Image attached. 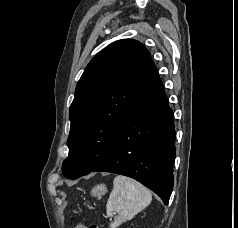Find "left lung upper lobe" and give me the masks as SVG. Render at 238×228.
Listing matches in <instances>:
<instances>
[{"mask_svg":"<svg viewBox=\"0 0 238 228\" xmlns=\"http://www.w3.org/2000/svg\"><path fill=\"white\" fill-rule=\"evenodd\" d=\"M154 67L149 51L132 39L110 44L89 62L69 109L64 176L89 172L110 156Z\"/></svg>","mask_w":238,"mask_h":228,"instance_id":"5c2ea615","label":"left lung upper lobe"}]
</instances>
